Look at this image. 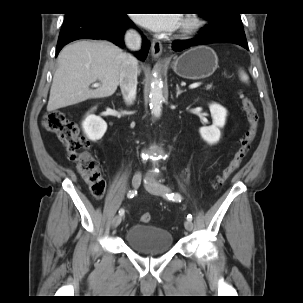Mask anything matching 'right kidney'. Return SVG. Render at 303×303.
Segmentation results:
<instances>
[{"label": "right kidney", "mask_w": 303, "mask_h": 303, "mask_svg": "<svg viewBox=\"0 0 303 303\" xmlns=\"http://www.w3.org/2000/svg\"><path fill=\"white\" fill-rule=\"evenodd\" d=\"M82 129L91 141H97L104 136L107 123L99 116L88 114L82 122Z\"/></svg>", "instance_id": "obj_1"}]
</instances>
